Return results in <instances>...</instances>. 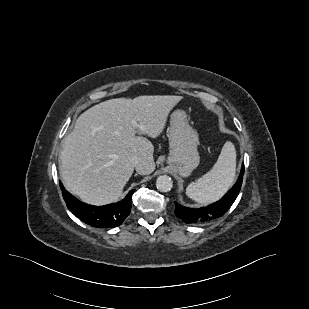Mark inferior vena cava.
<instances>
[{
	"label": "inferior vena cava",
	"instance_id": "602c4592",
	"mask_svg": "<svg viewBox=\"0 0 309 309\" xmlns=\"http://www.w3.org/2000/svg\"><path fill=\"white\" fill-rule=\"evenodd\" d=\"M131 162L132 164L134 165L136 171H138L141 167V162H140V159L138 157H132L131 158Z\"/></svg>",
	"mask_w": 309,
	"mask_h": 309
}]
</instances>
